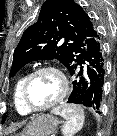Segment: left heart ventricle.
I'll return each instance as SVG.
<instances>
[{
	"label": "left heart ventricle",
	"instance_id": "obj_1",
	"mask_svg": "<svg viewBox=\"0 0 117 136\" xmlns=\"http://www.w3.org/2000/svg\"><path fill=\"white\" fill-rule=\"evenodd\" d=\"M62 89L57 75L50 72L38 74L29 87V100L35 107H43L58 97Z\"/></svg>",
	"mask_w": 117,
	"mask_h": 136
}]
</instances>
